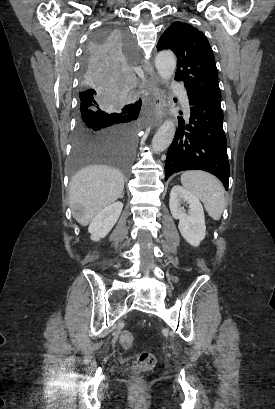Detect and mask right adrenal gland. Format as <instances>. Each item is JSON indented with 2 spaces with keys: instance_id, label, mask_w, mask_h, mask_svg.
Masks as SVG:
<instances>
[{
  "instance_id": "right-adrenal-gland-1",
  "label": "right adrenal gland",
  "mask_w": 275,
  "mask_h": 409,
  "mask_svg": "<svg viewBox=\"0 0 275 409\" xmlns=\"http://www.w3.org/2000/svg\"><path fill=\"white\" fill-rule=\"evenodd\" d=\"M123 196H124V192H122V194H121L120 198H123Z\"/></svg>"
}]
</instances>
